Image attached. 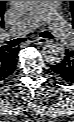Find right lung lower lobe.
Instances as JSON below:
<instances>
[{
	"label": "right lung lower lobe",
	"instance_id": "98d812e1",
	"mask_svg": "<svg viewBox=\"0 0 74 122\" xmlns=\"http://www.w3.org/2000/svg\"><path fill=\"white\" fill-rule=\"evenodd\" d=\"M18 52H19V49H18L15 57L13 58L12 63L7 68H5V69L0 68V81L8 78L15 70Z\"/></svg>",
	"mask_w": 74,
	"mask_h": 122
}]
</instances>
